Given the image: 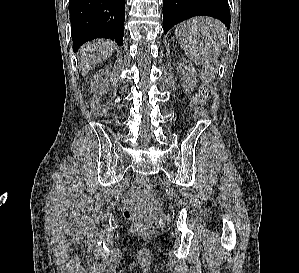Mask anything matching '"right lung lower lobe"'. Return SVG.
Returning <instances> with one entry per match:
<instances>
[{
    "instance_id": "obj_1",
    "label": "right lung lower lobe",
    "mask_w": 299,
    "mask_h": 273,
    "mask_svg": "<svg viewBox=\"0 0 299 273\" xmlns=\"http://www.w3.org/2000/svg\"><path fill=\"white\" fill-rule=\"evenodd\" d=\"M73 50L92 39L123 44L125 0H69Z\"/></svg>"
}]
</instances>
